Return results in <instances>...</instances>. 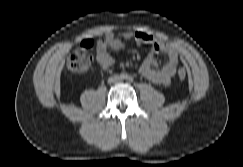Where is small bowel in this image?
<instances>
[{"label": "small bowel", "instance_id": "small-bowel-1", "mask_svg": "<svg viewBox=\"0 0 243 167\" xmlns=\"http://www.w3.org/2000/svg\"><path fill=\"white\" fill-rule=\"evenodd\" d=\"M134 38L139 44L148 45L151 48L149 55L140 66V74L149 81L167 86L176 74L179 56L175 47L167 42L157 39L153 35L144 31H124L117 35L113 32H107L98 42L96 61L102 70H108L113 65V58L109 50H121L124 47V40ZM162 52L167 56L164 65L159 66L154 53Z\"/></svg>", "mask_w": 243, "mask_h": 167}]
</instances>
